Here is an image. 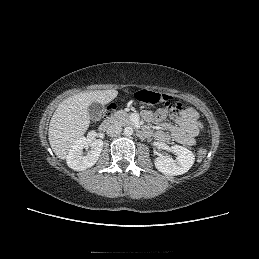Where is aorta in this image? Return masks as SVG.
<instances>
[{
    "label": "aorta",
    "instance_id": "762f6f07",
    "mask_svg": "<svg viewBox=\"0 0 259 259\" xmlns=\"http://www.w3.org/2000/svg\"><path fill=\"white\" fill-rule=\"evenodd\" d=\"M133 134V128L130 126H127L124 128V135L131 136Z\"/></svg>",
    "mask_w": 259,
    "mask_h": 259
}]
</instances>
